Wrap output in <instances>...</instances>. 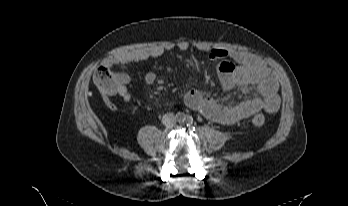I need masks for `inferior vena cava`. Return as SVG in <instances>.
Returning <instances> with one entry per match:
<instances>
[{
    "label": "inferior vena cava",
    "mask_w": 348,
    "mask_h": 206,
    "mask_svg": "<svg viewBox=\"0 0 348 206\" xmlns=\"http://www.w3.org/2000/svg\"><path fill=\"white\" fill-rule=\"evenodd\" d=\"M174 121V116L173 114L169 113V114H166L163 118V122L165 124H168V123H172Z\"/></svg>",
    "instance_id": "obj_1"
}]
</instances>
